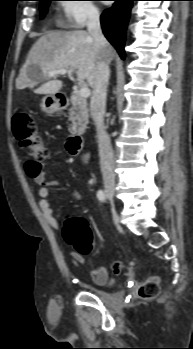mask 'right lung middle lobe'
<instances>
[{"instance_id": "1", "label": "right lung middle lobe", "mask_w": 193, "mask_h": 349, "mask_svg": "<svg viewBox=\"0 0 193 349\" xmlns=\"http://www.w3.org/2000/svg\"><path fill=\"white\" fill-rule=\"evenodd\" d=\"M38 1H40L41 17L43 18L48 10L49 3L52 0H38Z\"/></svg>"}]
</instances>
